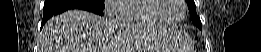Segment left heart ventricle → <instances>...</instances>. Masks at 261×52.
I'll return each instance as SVG.
<instances>
[{
	"label": "left heart ventricle",
	"mask_w": 261,
	"mask_h": 52,
	"mask_svg": "<svg viewBox=\"0 0 261 52\" xmlns=\"http://www.w3.org/2000/svg\"><path fill=\"white\" fill-rule=\"evenodd\" d=\"M168 2V8L163 12V18L169 21H176L182 15V8L178 0H165Z\"/></svg>",
	"instance_id": "left-heart-ventricle-1"
}]
</instances>
